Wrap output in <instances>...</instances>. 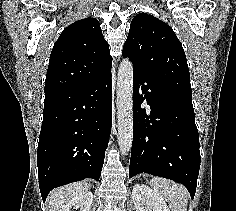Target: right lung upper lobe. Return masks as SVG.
<instances>
[{"instance_id": "right-lung-upper-lobe-1", "label": "right lung upper lobe", "mask_w": 236, "mask_h": 211, "mask_svg": "<svg viewBox=\"0 0 236 211\" xmlns=\"http://www.w3.org/2000/svg\"><path fill=\"white\" fill-rule=\"evenodd\" d=\"M112 57L100 24L94 18L66 27L51 52L45 95L83 87L111 72Z\"/></svg>"}]
</instances>
